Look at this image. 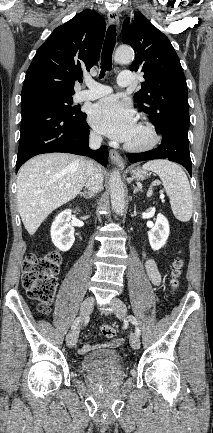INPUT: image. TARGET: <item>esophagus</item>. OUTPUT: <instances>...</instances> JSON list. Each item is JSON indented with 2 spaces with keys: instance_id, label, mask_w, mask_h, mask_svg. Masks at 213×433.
Returning <instances> with one entry per match:
<instances>
[{
  "instance_id": "34e87169",
  "label": "esophagus",
  "mask_w": 213,
  "mask_h": 433,
  "mask_svg": "<svg viewBox=\"0 0 213 433\" xmlns=\"http://www.w3.org/2000/svg\"><path fill=\"white\" fill-rule=\"evenodd\" d=\"M107 16L110 24L117 25L119 23V15L116 11H109ZM109 155L113 163L117 164L118 166H123V159L117 151L110 150Z\"/></svg>"
}]
</instances>
